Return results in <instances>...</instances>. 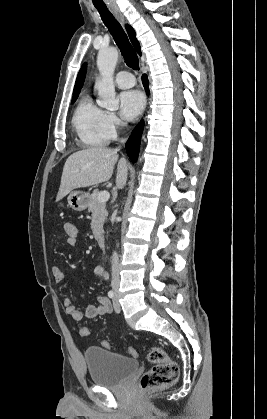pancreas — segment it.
<instances>
[{
	"instance_id": "cf45deb5",
	"label": "pancreas",
	"mask_w": 267,
	"mask_h": 419,
	"mask_svg": "<svg viewBox=\"0 0 267 419\" xmlns=\"http://www.w3.org/2000/svg\"><path fill=\"white\" fill-rule=\"evenodd\" d=\"M99 190H94L89 197L88 211L92 212L91 229L96 239L103 233V223L108 215L106 203L98 200Z\"/></svg>"
}]
</instances>
